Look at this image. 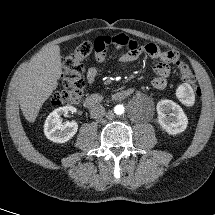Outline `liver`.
I'll return each instance as SVG.
<instances>
[{
    "label": "liver",
    "mask_w": 215,
    "mask_h": 215,
    "mask_svg": "<svg viewBox=\"0 0 215 215\" xmlns=\"http://www.w3.org/2000/svg\"><path fill=\"white\" fill-rule=\"evenodd\" d=\"M62 73L60 47L53 45L37 53L16 76V90L23 116L35 122L40 108L58 86Z\"/></svg>",
    "instance_id": "liver-1"
}]
</instances>
